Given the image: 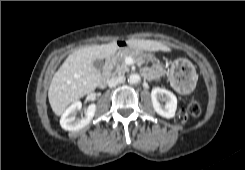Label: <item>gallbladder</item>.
Wrapping results in <instances>:
<instances>
[{"mask_svg":"<svg viewBox=\"0 0 245 170\" xmlns=\"http://www.w3.org/2000/svg\"><path fill=\"white\" fill-rule=\"evenodd\" d=\"M93 66L98 70H102L104 67V61L101 59H97L93 62Z\"/></svg>","mask_w":245,"mask_h":170,"instance_id":"1","label":"gallbladder"}]
</instances>
